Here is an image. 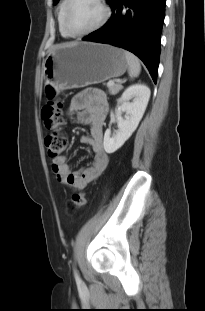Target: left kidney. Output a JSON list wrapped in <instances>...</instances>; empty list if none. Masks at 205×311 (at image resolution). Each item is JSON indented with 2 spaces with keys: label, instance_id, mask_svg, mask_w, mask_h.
<instances>
[{
  "label": "left kidney",
  "instance_id": "left-kidney-1",
  "mask_svg": "<svg viewBox=\"0 0 205 311\" xmlns=\"http://www.w3.org/2000/svg\"><path fill=\"white\" fill-rule=\"evenodd\" d=\"M150 94L149 87L143 84L132 85L123 92L115 109L118 130L113 136L110 129L104 134L103 144L107 153H114L131 137L143 117ZM122 112L126 113L124 118Z\"/></svg>",
  "mask_w": 205,
  "mask_h": 311
}]
</instances>
